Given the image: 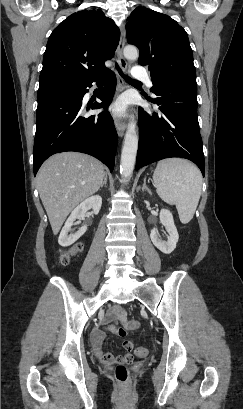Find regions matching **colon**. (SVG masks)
I'll return each instance as SVG.
<instances>
[{
  "label": "colon",
  "instance_id": "obj_1",
  "mask_svg": "<svg viewBox=\"0 0 243 409\" xmlns=\"http://www.w3.org/2000/svg\"><path fill=\"white\" fill-rule=\"evenodd\" d=\"M83 248V244L78 243L76 244L70 252L62 253L59 257L58 263L62 266H65L69 263L70 256L79 252ZM130 315V312L125 313V316ZM112 331L116 333L118 336H124L126 331L122 327H112ZM136 354L141 357H145L148 354V349L145 347H137ZM115 377L117 381L122 384L126 385L129 381V371L125 364H118L115 368Z\"/></svg>",
  "mask_w": 243,
  "mask_h": 409
}]
</instances>
